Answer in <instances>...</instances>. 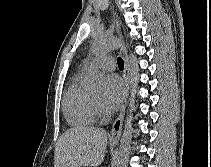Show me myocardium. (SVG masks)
<instances>
[{
  "instance_id": "obj_1",
  "label": "myocardium",
  "mask_w": 211,
  "mask_h": 167,
  "mask_svg": "<svg viewBox=\"0 0 211 167\" xmlns=\"http://www.w3.org/2000/svg\"><path fill=\"white\" fill-rule=\"evenodd\" d=\"M90 101H91V106L93 108V111L95 112L96 115L98 116H104V111L101 108V106L95 101L93 96H90Z\"/></svg>"
}]
</instances>
